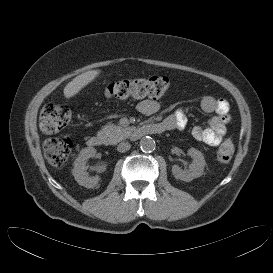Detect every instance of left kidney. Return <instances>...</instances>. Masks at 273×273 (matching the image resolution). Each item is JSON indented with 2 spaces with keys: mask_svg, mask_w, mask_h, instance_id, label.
I'll return each instance as SVG.
<instances>
[{
  "mask_svg": "<svg viewBox=\"0 0 273 273\" xmlns=\"http://www.w3.org/2000/svg\"><path fill=\"white\" fill-rule=\"evenodd\" d=\"M188 155L193 158L188 170H183L178 165L172 166V173L174 177L186 182H190L193 179L202 176L206 165L204 156L199 150L190 148L188 150Z\"/></svg>",
  "mask_w": 273,
  "mask_h": 273,
  "instance_id": "obj_1",
  "label": "left kidney"
}]
</instances>
